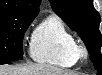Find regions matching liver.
<instances>
[{"label": "liver", "mask_w": 102, "mask_h": 75, "mask_svg": "<svg viewBox=\"0 0 102 75\" xmlns=\"http://www.w3.org/2000/svg\"><path fill=\"white\" fill-rule=\"evenodd\" d=\"M0 75H77V74L46 64H32L28 66L3 65L0 67Z\"/></svg>", "instance_id": "6515ba94"}]
</instances>
